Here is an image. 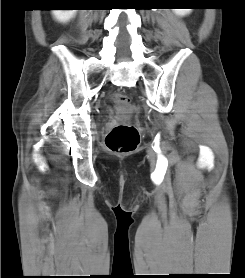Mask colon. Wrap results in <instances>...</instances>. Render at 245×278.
<instances>
[{"instance_id": "colon-1", "label": "colon", "mask_w": 245, "mask_h": 278, "mask_svg": "<svg viewBox=\"0 0 245 278\" xmlns=\"http://www.w3.org/2000/svg\"><path fill=\"white\" fill-rule=\"evenodd\" d=\"M119 107H128L131 100L128 96L117 93L113 96ZM140 141L139 130L130 123L118 124L111 129L105 139L106 147L114 153H130L137 149Z\"/></svg>"}]
</instances>
